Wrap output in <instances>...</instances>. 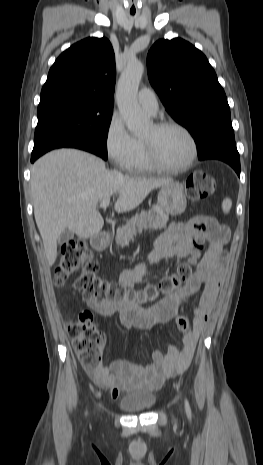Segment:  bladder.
Masks as SVG:
<instances>
[{
    "instance_id": "1",
    "label": "bladder",
    "mask_w": 263,
    "mask_h": 465,
    "mask_svg": "<svg viewBox=\"0 0 263 465\" xmlns=\"http://www.w3.org/2000/svg\"><path fill=\"white\" fill-rule=\"evenodd\" d=\"M156 403V396L140 390L125 395L118 403L119 408L129 414L149 411Z\"/></svg>"
}]
</instances>
